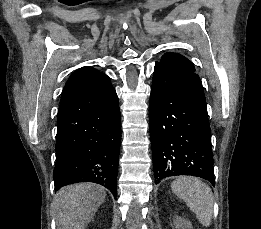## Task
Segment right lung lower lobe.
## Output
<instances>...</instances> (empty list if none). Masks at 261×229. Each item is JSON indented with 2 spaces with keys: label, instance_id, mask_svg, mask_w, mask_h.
I'll use <instances>...</instances> for the list:
<instances>
[{
  "label": "right lung lower lobe",
  "instance_id": "1",
  "mask_svg": "<svg viewBox=\"0 0 261 229\" xmlns=\"http://www.w3.org/2000/svg\"><path fill=\"white\" fill-rule=\"evenodd\" d=\"M121 118L108 76L71 95L58 110L55 190L97 183L117 195Z\"/></svg>",
  "mask_w": 261,
  "mask_h": 229
}]
</instances>
